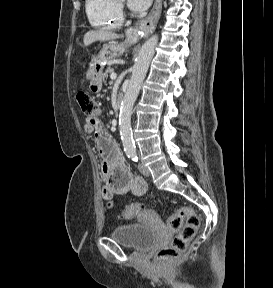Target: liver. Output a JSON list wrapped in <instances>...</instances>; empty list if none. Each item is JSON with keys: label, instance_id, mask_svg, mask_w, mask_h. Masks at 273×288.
Here are the masks:
<instances>
[{"label": "liver", "instance_id": "obj_1", "mask_svg": "<svg viewBox=\"0 0 273 288\" xmlns=\"http://www.w3.org/2000/svg\"><path fill=\"white\" fill-rule=\"evenodd\" d=\"M119 37L116 33L105 29L90 30L84 35L83 43L85 46H88L96 41H110L118 39Z\"/></svg>", "mask_w": 273, "mask_h": 288}]
</instances>
